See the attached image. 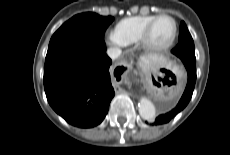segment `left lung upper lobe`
I'll return each instance as SVG.
<instances>
[{
  "mask_svg": "<svg viewBox=\"0 0 230 155\" xmlns=\"http://www.w3.org/2000/svg\"><path fill=\"white\" fill-rule=\"evenodd\" d=\"M172 53L179 57L181 60L191 59L194 62L196 61L194 42L186 24L183 21L180 24L179 43L172 50Z\"/></svg>",
  "mask_w": 230,
  "mask_h": 155,
  "instance_id": "left-lung-upper-lobe-1",
  "label": "left lung upper lobe"
}]
</instances>
